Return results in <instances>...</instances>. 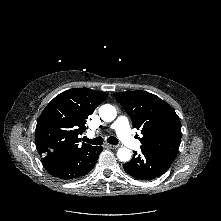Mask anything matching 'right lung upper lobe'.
I'll use <instances>...</instances> for the list:
<instances>
[{
	"label": "right lung upper lobe",
	"mask_w": 221,
	"mask_h": 221,
	"mask_svg": "<svg viewBox=\"0 0 221 221\" xmlns=\"http://www.w3.org/2000/svg\"><path fill=\"white\" fill-rule=\"evenodd\" d=\"M107 93L88 88L69 89L56 96L43 110L35 130L42 163L57 155L88 146L78 137L86 119L106 99Z\"/></svg>",
	"instance_id": "cb5924a9"
}]
</instances>
